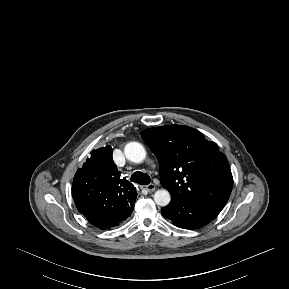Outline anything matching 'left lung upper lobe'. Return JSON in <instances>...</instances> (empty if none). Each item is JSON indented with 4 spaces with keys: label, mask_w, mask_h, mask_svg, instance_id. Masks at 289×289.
Returning a JSON list of instances; mask_svg holds the SVG:
<instances>
[{
    "label": "left lung upper lobe",
    "mask_w": 289,
    "mask_h": 289,
    "mask_svg": "<svg viewBox=\"0 0 289 289\" xmlns=\"http://www.w3.org/2000/svg\"><path fill=\"white\" fill-rule=\"evenodd\" d=\"M141 136L159 161L160 182L171 197L192 199L221 211L233 177L218 145L184 125L145 129Z\"/></svg>",
    "instance_id": "left-lung-upper-lobe-1"
}]
</instances>
